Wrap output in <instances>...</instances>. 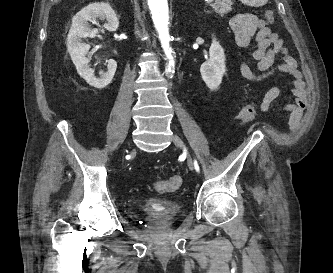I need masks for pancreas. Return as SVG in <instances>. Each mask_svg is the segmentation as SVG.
Listing matches in <instances>:
<instances>
[{"label": "pancreas", "instance_id": "cf45deb5", "mask_svg": "<svg viewBox=\"0 0 333 273\" xmlns=\"http://www.w3.org/2000/svg\"><path fill=\"white\" fill-rule=\"evenodd\" d=\"M231 0H216V2L212 5L214 10L219 13L221 16L231 11L232 7Z\"/></svg>", "mask_w": 333, "mask_h": 273}]
</instances>
